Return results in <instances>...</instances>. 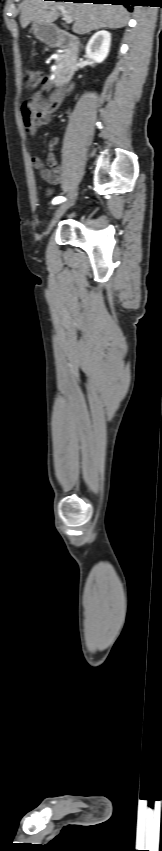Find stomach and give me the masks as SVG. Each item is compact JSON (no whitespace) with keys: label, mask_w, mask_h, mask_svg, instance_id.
<instances>
[{"label":"stomach","mask_w":162,"mask_h":851,"mask_svg":"<svg viewBox=\"0 0 162 851\" xmlns=\"http://www.w3.org/2000/svg\"><path fill=\"white\" fill-rule=\"evenodd\" d=\"M32 30L34 35L44 43H55L59 36L55 26L39 22H33Z\"/></svg>","instance_id":"obj_1"}]
</instances>
